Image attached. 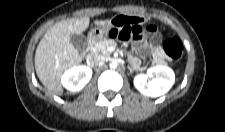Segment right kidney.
<instances>
[{
    "label": "right kidney",
    "mask_w": 225,
    "mask_h": 132,
    "mask_svg": "<svg viewBox=\"0 0 225 132\" xmlns=\"http://www.w3.org/2000/svg\"><path fill=\"white\" fill-rule=\"evenodd\" d=\"M92 70L87 66H77L66 71L61 79L62 85L69 91H80L91 79Z\"/></svg>",
    "instance_id": "right-kidney-1"
}]
</instances>
